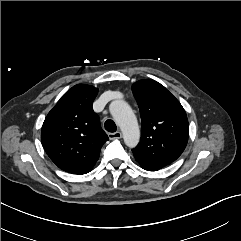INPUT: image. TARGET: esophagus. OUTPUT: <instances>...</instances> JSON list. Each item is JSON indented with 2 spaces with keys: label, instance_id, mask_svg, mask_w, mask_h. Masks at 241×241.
<instances>
[{
  "label": "esophagus",
  "instance_id": "34e87169",
  "mask_svg": "<svg viewBox=\"0 0 241 241\" xmlns=\"http://www.w3.org/2000/svg\"><path fill=\"white\" fill-rule=\"evenodd\" d=\"M108 136L111 140H113V139H120L122 137V134L121 132L117 131L114 133H109Z\"/></svg>",
  "mask_w": 241,
  "mask_h": 241
}]
</instances>
